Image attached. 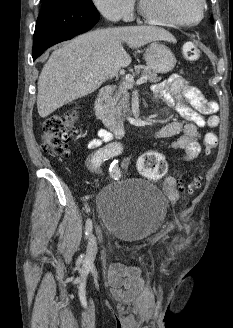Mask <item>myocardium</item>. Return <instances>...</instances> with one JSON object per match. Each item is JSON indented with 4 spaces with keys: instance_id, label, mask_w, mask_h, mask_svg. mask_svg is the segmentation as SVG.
<instances>
[{
    "instance_id": "f54148a6",
    "label": "myocardium",
    "mask_w": 233,
    "mask_h": 328,
    "mask_svg": "<svg viewBox=\"0 0 233 328\" xmlns=\"http://www.w3.org/2000/svg\"><path fill=\"white\" fill-rule=\"evenodd\" d=\"M201 13L199 18L193 22H184L172 17L163 15L157 11L155 6H151L147 0H139V8L143 16L151 22L177 27H193L200 24L205 18L206 14V0H200Z\"/></svg>"
}]
</instances>
